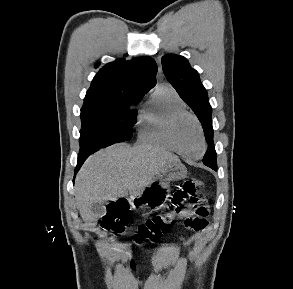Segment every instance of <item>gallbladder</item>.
I'll use <instances>...</instances> for the list:
<instances>
[{"instance_id":"gallbladder-1","label":"gallbladder","mask_w":293,"mask_h":289,"mask_svg":"<svg viewBox=\"0 0 293 289\" xmlns=\"http://www.w3.org/2000/svg\"><path fill=\"white\" fill-rule=\"evenodd\" d=\"M91 209L92 212L98 217H101L105 214V208L102 203H94Z\"/></svg>"}]
</instances>
